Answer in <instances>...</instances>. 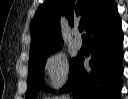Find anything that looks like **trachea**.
<instances>
[{
    "mask_svg": "<svg viewBox=\"0 0 128 99\" xmlns=\"http://www.w3.org/2000/svg\"><path fill=\"white\" fill-rule=\"evenodd\" d=\"M79 31L83 32L84 31V26L83 25H79ZM82 36H85L84 34Z\"/></svg>",
    "mask_w": 128,
    "mask_h": 99,
    "instance_id": "3493384b",
    "label": "trachea"
}]
</instances>
